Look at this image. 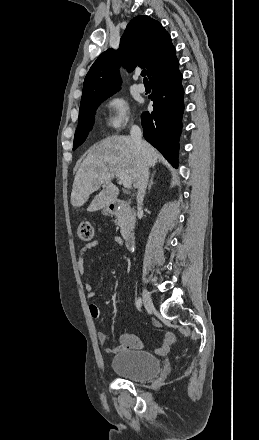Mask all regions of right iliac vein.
Returning a JSON list of instances; mask_svg holds the SVG:
<instances>
[{
	"label": "right iliac vein",
	"mask_w": 259,
	"mask_h": 440,
	"mask_svg": "<svg viewBox=\"0 0 259 440\" xmlns=\"http://www.w3.org/2000/svg\"><path fill=\"white\" fill-rule=\"evenodd\" d=\"M143 304L147 310H150L153 307L151 295L147 289L143 290Z\"/></svg>",
	"instance_id": "63e3f726"
}]
</instances>
